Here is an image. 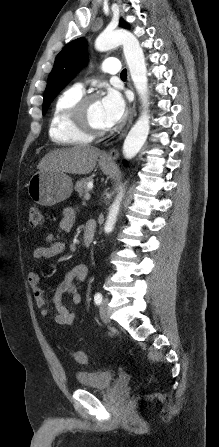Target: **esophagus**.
I'll return each mask as SVG.
<instances>
[{
  "label": "esophagus",
  "instance_id": "1",
  "mask_svg": "<svg viewBox=\"0 0 219 447\" xmlns=\"http://www.w3.org/2000/svg\"><path fill=\"white\" fill-rule=\"evenodd\" d=\"M135 108H136V105H135V101H134L132 106H131V108H130L129 117H128V123H127V126H126L124 132H126L128 130V128L130 127V125H131V123L133 121V118L136 115ZM118 156H119V153H118V151L115 148H112L108 153L105 154V158L107 160H109V161L116 160L118 158Z\"/></svg>",
  "mask_w": 219,
  "mask_h": 447
}]
</instances>
